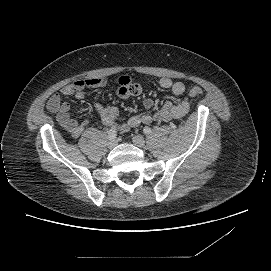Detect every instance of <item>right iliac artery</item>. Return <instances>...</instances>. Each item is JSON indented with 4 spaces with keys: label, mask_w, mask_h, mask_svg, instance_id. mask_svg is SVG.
<instances>
[{
    "label": "right iliac artery",
    "mask_w": 271,
    "mask_h": 271,
    "mask_svg": "<svg viewBox=\"0 0 271 271\" xmlns=\"http://www.w3.org/2000/svg\"><path fill=\"white\" fill-rule=\"evenodd\" d=\"M117 136V132H116V128L112 127L109 131H108V138L110 140L115 139Z\"/></svg>",
    "instance_id": "1"
}]
</instances>
